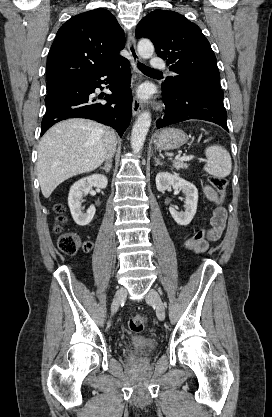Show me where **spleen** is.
Returning a JSON list of instances; mask_svg holds the SVG:
<instances>
[{
    "instance_id": "spleen-1",
    "label": "spleen",
    "mask_w": 272,
    "mask_h": 417,
    "mask_svg": "<svg viewBox=\"0 0 272 417\" xmlns=\"http://www.w3.org/2000/svg\"><path fill=\"white\" fill-rule=\"evenodd\" d=\"M207 163L204 170L218 178L227 177L231 173L232 162L229 152L220 145H213L205 149Z\"/></svg>"
}]
</instances>
